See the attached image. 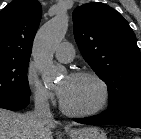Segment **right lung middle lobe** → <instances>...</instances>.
Returning a JSON list of instances; mask_svg holds the SVG:
<instances>
[{"label": "right lung middle lobe", "instance_id": "right-lung-middle-lobe-1", "mask_svg": "<svg viewBox=\"0 0 141 139\" xmlns=\"http://www.w3.org/2000/svg\"><path fill=\"white\" fill-rule=\"evenodd\" d=\"M29 60L0 59V98L30 97Z\"/></svg>", "mask_w": 141, "mask_h": 139}]
</instances>
